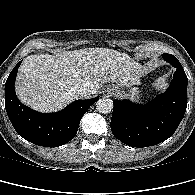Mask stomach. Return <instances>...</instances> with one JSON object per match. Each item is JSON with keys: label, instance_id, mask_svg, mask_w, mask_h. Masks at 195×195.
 <instances>
[{"label": "stomach", "instance_id": "0dacf381", "mask_svg": "<svg viewBox=\"0 0 195 195\" xmlns=\"http://www.w3.org/2000/svg\"><path fill=\"white\" fill-rule=\"evenodd\" d=\"M109 88L114 89V94L118 97H129L132 100H139L140 95H139V88L135 87L134 85L130 87H122L121 85H110L108 86Z\"/></svg>", "mask_w": 195, "mask_h": 195}]
</instances>
